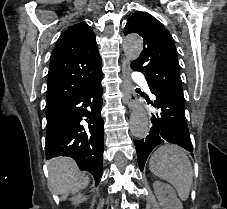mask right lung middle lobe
<instances>
[{
	"mask_svg": "<svg viewBox=\"0 0 227 209\" xmlns=\"http://www.w3.org/2000/svg\"><path fill=\"white\" fill-rule=\"evenodd\" d=\"M49 111V109H46V113Z\"/></svg>",
	"mask_w": 227,
	"mask_h": 209,
	"instance_id": "dd1d6c3e",
	"label": "right lung middle lobe"
}]
</instances>
